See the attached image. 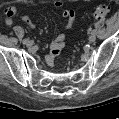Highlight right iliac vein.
I'll return each instance as SVG.
<instances>
[{"label": "right iliac vein", "mask_w": 119, "mask_h": 119, "mask_svg": "<svg viewBox=\"0 0 119 119\" xmlns=\"http://www.w3.org/2000/svg\"><path fill=\"white\" fill-rule=\"evenodd\" d=\"M25 45H26L27 47H31V46H33V42L30 41V40H28V41L25 43Z\"/></svg>", "instance_id": "obj_1"}]
</instances>
